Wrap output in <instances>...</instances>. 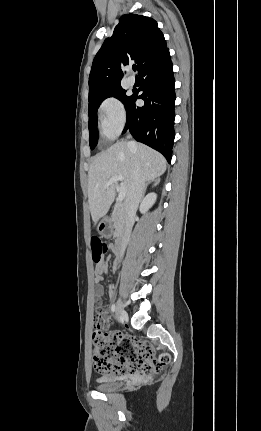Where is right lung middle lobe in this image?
Here are the masks:
<instances>
[{"instance_id":"1","label":"right lung middle lobe","mask_w":261,"mask_h":431,"mask_svg":"<svg viewBox=\"0 0 261 431\" xmlns=\"http://www.w3.org/2000/svg\"><path fill=\"white\" fill-rule=\"evenodd\" d=\"M115 97L119 99L124 105L127 103L130 96L126 95V90H124L121 85L114 86L112 88H109L105 91L96 93L92 96H89V105H88V112H89V122H88V128H89V144L90 148L94 149L98 142V131H97V109L102 103L103 100H105L108 97Z\"/></svg>"}]
</instances>
